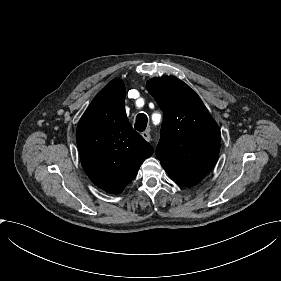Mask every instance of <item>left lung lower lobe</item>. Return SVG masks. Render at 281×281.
<instances>
[{
	"instance_id": "0a47b994",
	"label": "left lung lower lobe",
	"mask_w": 281,
	"mask_h": 281,
	"mask_svg": "<svg viewBox=\"0 0 281 281\" xmlns=\"http://www.w3.org/2000/svg\"><path fill=\"white\" fill-rule=\"evenodd\" d=\"M164 169L176 183L182 186H192L200 182L206 176V174L183 173L166 167H164Z\"/></svg>"
}]
</instances>
